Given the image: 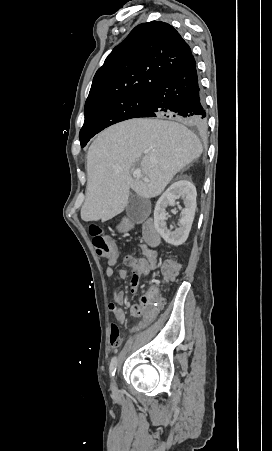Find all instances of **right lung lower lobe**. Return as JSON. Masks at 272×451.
<instances>
[{
  "instance_id": "1",
  "label": "right lung lower lobe",
  "mask_w": 272,
  "mask_h": 451,
  "mask_svg": "<svg viewBox=\"0 0 272 451\" xmlns=\"http://www.w3.org/2000/svg\"><path fill=\"white\" fill-rule=\"evenodd\" d=\"M139 117L175 118L198 131L206 130L205 99L193 55L152 90Z\"/></svg>"
}]
</instances>
